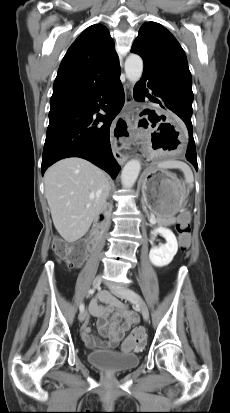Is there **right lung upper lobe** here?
<instances>
[{
    "mask_svg": "<svg viewBox=\"0 0 230 413\" xmlns=\"http://www.w3.org/2000/svg\"><path fill=\"white\" fill-rule=\"evenodd\" d=\"M120 73L118 55L108 29L94 24L66 52L53 85L50 103L85 98Z\"/></svg>",
    "mask_w": 230,
    "mask_h": 413,
    "instance_id": "obj_1",
    "label": "right lung upper lobe"
}]
</instances>
